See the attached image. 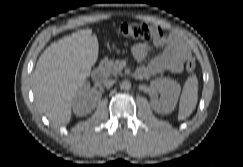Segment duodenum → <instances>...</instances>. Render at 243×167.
Returning a JSON list of instances; mask_svg holds the SVG:
<instances>
[{"instance_id":"1","label":"duodenum","mask_w":243,"mask_h":167,"mask_svg":"<svg viewBox=\"0 0 243 167\" xmlns=\"http://www.w3.org/2000/svg\"><path fill=\"white\" fill-rule=\"evenodd\" d=\"M92 79L96 83H102L104 80V72L101 67H95L92 71Z\"/></svg>"}]
</instances>
